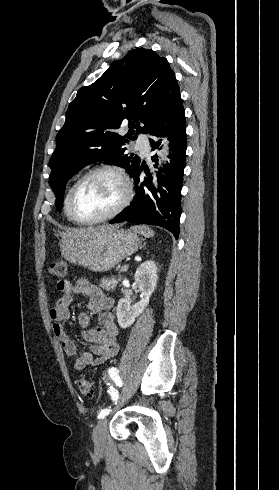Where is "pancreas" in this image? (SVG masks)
Here are the masks:
<instances>
[{"mask_svg": "<svg viewBox=\"0 0 279 490\" xmlns=\"http://www.w3.org/2000/svg\"><path fill=\"white\" fill-rule=\"evenodd\" d=\"M118 274H119V278H115V276H112V278H109V280H107V278H102L100 282L101 288H104V290H115L119 280H121L122 278L121 268H119Z\"/></svg>", "mask_w": 279, "mask_h": 490, "instance_id": "cf45deb5", "label": "pancreas"}]
</instances>
